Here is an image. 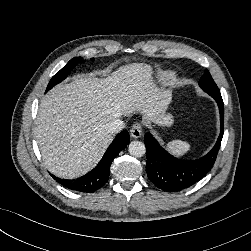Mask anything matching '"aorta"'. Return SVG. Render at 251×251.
I'll return each mask as SVG.
<instances>
[{"label":"aorta","instance_id":"762f6f07","mask_svg":"<svg viewBox=\"0 0 251 251\" xmlns=\"http://www.w3.org/2000/svg\"><path fill=\"white\" fill-rule=\"evenodd\" d=\"M128 151L133 157H142L146 152V147L143 142L133 141L129 144Z\"/></svg>","mask_w":251,"mask_h":251}]
</instances>
